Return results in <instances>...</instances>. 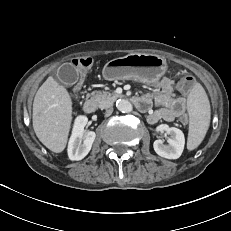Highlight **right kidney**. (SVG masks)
<instances>
[{
	"mask_svg": "<svg viewBox=\"0 0 231 231\" xmlns=\"http://www.w3.org/2000/svg\"><path fill=\"white\" fill-rule=\"evenodd\" d=\"M86 116H78L75 119L72 135L68 144V156L70 160H82L91 150L96 134L93 131H85Z\"/></svg>",
	"mask_w": 231,
	"mask_h": 231,
	"instance_id": "1",
	"label": "right kidney"
}]
</instances>
